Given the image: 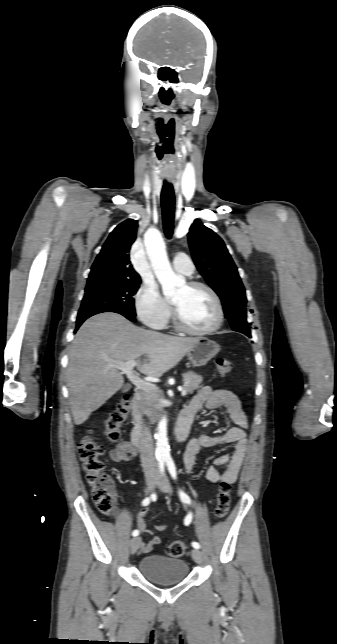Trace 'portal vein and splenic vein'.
<instances>
[{"mask_svg": "<svg viewBox=\"0 0 337 644\" xmlns=\"http://www.w3.org/2000/svg\"><path fill=\"white\" fill-rule=\"evenodd\" d=\"M112 367H115L119 370H121L123 373L126 374L128 379L138 388L141 390H144L146 392H151L154 390H157V387L154 384H151L150 382L142 380L140 377H138L134 371L133 368L136 366V361L131 360L128 362H114ZM181 394L182 396H185L187 394L185 389H181Z\"/></svg>", "mask_w": 337, "mask_h": 644, "instance_id": "obj_1", "label": "portal vein and splenic vein"}]
</instances>
